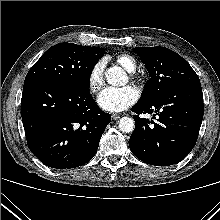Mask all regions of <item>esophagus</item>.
<instances>
[{
    "label": "esophagus",
    "mask_w": 220,
    "mask_h": 220,
    "mask_svg": "<svg viewBox=\"0 0 220 220\" xmlns=\"http://www.w3.org/2000/svg\"><path fill=\"white\" fill-rule=\"evenodd\" d=\"M121 116L119 114H112V119L113 120H118Z\"/></svg>",
    "instance_id": "obj_1"
}]
</instances>
